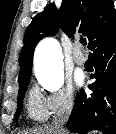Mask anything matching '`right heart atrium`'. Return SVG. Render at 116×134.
<instances>
[{
	"mask_svg": "<svg viewBox=\"0 0 116 134\" xmlns=\"http://www.w3.org/2000/svg\"><path fill=\"white\" fill-rule=\"evenodd\" d=\"M37 91V90H36ZM43 100L48 115L55 116L69 112L74 104V92L70 85L63 86L47 95L37 91Z\"/></svg>",
	"mask_w": 116,
	"mask_h": 134,
	"instance_id": "obj_1",
	"label": "right heart atrium"
}]
</instances>
